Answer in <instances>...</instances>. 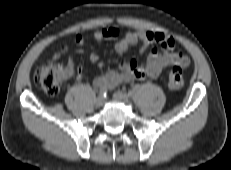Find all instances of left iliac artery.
Here are the masks:
<instances>
[{"instance_id":"44dca946","label":"left iliac artery","mask_w":231,"mask_h":170,"mask_svg":"<svg viewBox=\"0 0 231 170\" xmlns=\"http://www.w3.org/2000/svg\"><path fill=\"white\" fill-rule=\"evenodd\" d=\"M139 88V85H136L133 90H129L128 94L129 95H134V92Z\"/></svg>"}]
</instances>
